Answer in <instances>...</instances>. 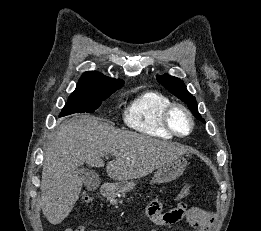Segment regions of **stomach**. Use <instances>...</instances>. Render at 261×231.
<instances>
[{
	"mask_svg": "<svg viewBox=\"0 0 261 231\" xmlns=\"http://www.w3.org/2000/svg\"><path fill=\"white\" fill-rule=\"evenodd\" d=\"M186 166H187L186 158L182 155L177 156L172 160H170L169 162H167L164 166L159 168L154 173L151 183L162 184V183H167L176 180L183 174ZM134 187H135L134 183L125 182V183L117 184L115 189L117 193L123 195L126 192L133 189Z\"/></svg>",
	"mask_w": 261,
	"mask_h": 231,
	"instance_id": "stomach-1",
	"label": "stomach"
}]
</instances>
